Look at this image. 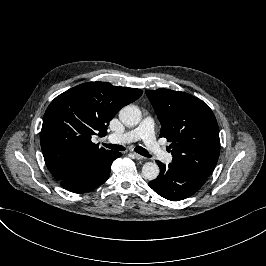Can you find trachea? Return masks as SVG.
<instances>
[{
	"mask_svg": "<svg viewBox=\"0 0 266 266\" xmlns=\"http://www.w3.org/2000/svg\"><path fill=\"white\" fill-rule=\"evenodd\" d=\"M105 147L111 149V150H116V151H124V147L121 145H115V144H104ZM135 152H137L140 155H143L144 157H152V155L143 147L137 146L134 149Z\"/></svg>",
	"mask_w": 266,
	"mask_h": 266,
	"instance_id": "trachea-1",
	"label": "trachea"
}]
</instances>
